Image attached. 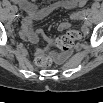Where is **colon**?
Segmentation results:
<instances>
[{"label":"colon","mask_w":103,"mask_h":103,"mask_svg":"<svg viewBox=\"0 0 103 103\" xmlns=\"http://www.w3.org/2000/svg\"><path fill=\"white\" fill-rule=\"evenodd\" d=\"M78 38H79V32L76 30H71L67 32L66 34L50 42L45 52L40 54L36 58L35 62L37 66L44 67V68L50 67L54 59H56L57 61H60V57L62 55H59V56L52 55L50 52V48L51 47L58 48L59 50L62 51V54L69 53V51L72 49L74 43L78 40Z\"/></svg>","instance_id":"colon-1"}]
</instances>
